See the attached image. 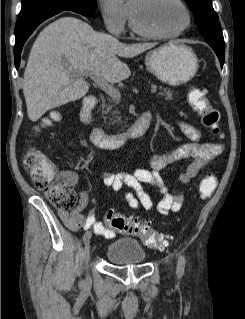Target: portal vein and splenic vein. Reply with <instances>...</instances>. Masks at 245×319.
Instances as JSON below:
<instances>
[{
	"label": "portal vein and splenic vein",
	"instance_id": "obj_1",
	"mask_svg": "<svg viewBox=\"0 0 245 319\" xmlns=\"http://www.w3.org/2000/svg\"><path fill=\"white\" fill-rule=\"evenodd\" d=\"M94 81L95 83L103 90L105 91L108 95H110L113 99L119 100L121 98V93L118 88H115L114 86L110 85L105 79L98 75H92L88 74ZM151 94L157 93V88H151L150 89Z\"/></svg>",
	"mask_w": 245,
	"mask_h": 319
}]
</instances>
